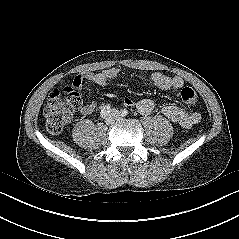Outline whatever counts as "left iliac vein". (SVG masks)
<instances>
[{
    "instance_id": "4c4485c4",
    "label": "left iliac vein",
    "mask_w": 239,
    "mask_h": 239,
    "mask_svg": "<svg viewBox=\"0 0 239 239\" xmlns=\"http://www.w3.org/2000/svg\"><path fill=\"white\" fill-rule=\"evenodd\" d=\"M111 115L115 118V120H121L122 119V116L117 109H112L111 110Z\"/></svg>"
}]
</instances>
